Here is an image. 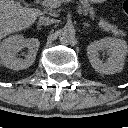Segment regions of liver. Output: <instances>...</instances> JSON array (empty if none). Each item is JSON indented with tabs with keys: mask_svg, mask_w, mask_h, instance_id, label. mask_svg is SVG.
I'll list each match as a JSON object with an SVG mask.
<instances>
[{
	"mask_svg": "<svg viewBox=\"0 0 128 128\" xmlns=\"http://www.w3.org/2000/svg\"><path fill=\"white\" fill-rule=\"evenodd\" d=\"M41 14L39 9L23 7L14 0H0V40L28 28Z\"/></svg>",
	"mask_w": 128,
	"mask_h": 128,
	"instance_id": "obj_1",
	"label": "liver"
}]
</instances>
